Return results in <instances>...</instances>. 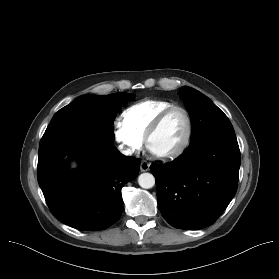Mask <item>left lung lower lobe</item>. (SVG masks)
<instances>
[{"label":"left lung lower lobe","mask_w":279,"mask_h":279,"mask_svg":"<svg viewBox=\"0 0 279 279\" xmlns=\"http://www.w3.org/2000/svg\"><path fill=\"white\" fill-rule=\"evenodd\" d=\"M240 162L235 132H222L190 142L170 163L152 164L165 220L185 230L213 224L236 193Z\"/></svg>","instance_id":"left-lung-lower-lobe-1"}]
</instances>
